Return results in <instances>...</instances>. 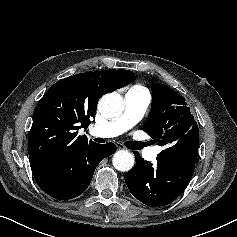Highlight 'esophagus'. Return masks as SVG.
<instances>
[{
    "instance_id": "obj_1",
    "label": "esophagus",
    "mask_w": 237,
    "mask_h": 237,
    "mask_svg": "<svg viewBox=\"0 0 237 237\" xmlns=\"http://www.w3.org/2000/svg\"><path fill=\"white\" fill-rule=\"evenodd\" d=\"M118 150H124L126 147L122 143H117L116 144Z\"/></svg>"
}]
</instances>
